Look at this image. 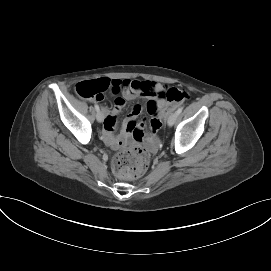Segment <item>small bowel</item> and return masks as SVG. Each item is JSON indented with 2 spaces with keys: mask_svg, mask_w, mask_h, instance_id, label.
<instances>
[{
  "mask_svg": "<svg viewBox=\"0 0 271 271\" xmlns=\"http://www.w3.org/2000/svg\"><path fill=\"white\" fill-rule=\"evenodd\" d=\"M109 82L115 100L112 110H104L103 132L106 143L112 147H117L129 137L140 141L144 135L146 123L144 121L137 123L136 118L141 113L143 107L141 105L134 106L131 113L123 121V130L119 135H115L117 126L116 117L123 109L126 100L147 98L146 110L155 116L154 119L160 120L165 115L169 106V102L160 96L165 90V87L150 81L114 79L109 80ZM150 132L153 135L156 131L153 132L150 130Z\"/></svg>",
  "mask_w": 271,
  "mask_h": 271,
  "instance_id": "small-bowel-1",
  "label": "small bowel"
}]
</instances>
